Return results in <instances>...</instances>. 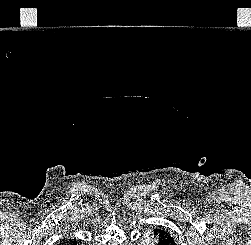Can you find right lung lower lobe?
I'll return each mask as SVG.
<instances>
[{
    "label": "right lung lower lobe",
    "instance_id": "right-lung-lower-lobe-1",
    "mask_svg": "<svg viewBox=\"0 0 251 245\" xmlns=\"http://www.w3.org/2000/svg\"><path fill=\"white\" fill-rule=\"evenodd\" d=\"M70 241H66V243H69ZM74 242H76V241H74ZM62 245H65V243L63 244L62 243ZM69 245V244H68ZM71 245H76V244H72V241H71Z\"/></svg>",
    "mask_w": 251,
    "mask_h": 245
}]
</instances>
